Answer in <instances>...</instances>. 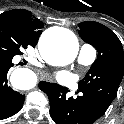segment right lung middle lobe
Returning <instances> with one entry per match:
<instances>
[{"mask_svg":"<svg viewBox=\"0 0 124 124\" xmlns=\"http://www.w3.org/2000/svg\"><path fill=\"white\" fill-rule=\"evenodd\" d=\"M26 37L11 24L0 20V58L12 60L29 46Z\"/></svg>","mask_w":124,"mask_h":124,"instance_id":"dd1d6c3e","label":"right lung middle lobe"}]
</instances>
